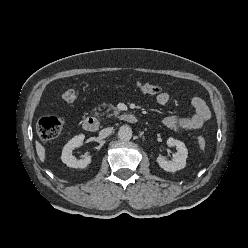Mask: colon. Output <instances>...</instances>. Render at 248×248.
I'll list each match as a JSON object with an SVG mask.
<instances>
[{"mask_svg": "<svg viewBox=\"0 0 248 248\" xmlns=\"http://www.w3.org/2000/svg\"><path fill=\"white\" fill-rule=\"evenodd\" d=\"M137 88L142 93L147 95H157L161 92V88L158 85L150 83H137ZM62 98L68 103H74L80 98V92L75 89L66 90ZM64 120L58 116H46L42 117L37 124V133L39 137L44 141H50L55 139L62 130ZM199 148L203 149L206 145V140L203 136H199L197 139Z\"/></svg>", "mask_w": 248, "mask_h": 248, "instance_id": "colon-1", "label": "colon"}]
</instances>
